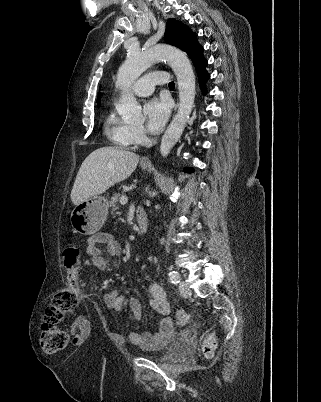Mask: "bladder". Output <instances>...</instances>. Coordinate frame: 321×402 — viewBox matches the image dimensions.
Masks as SVG:
<instances>
[{"mask_svg":"<svg viewBox=\"0 0 321 402\" xmlns=\"http://www.w3.org/2000/svg\"><path fill=\"white\" fill-rule=\"evenodd\" d=\"M146 357L164 362L170 363L175 359V355L171 349V343L165 344L159 352L145 354Z\"/></svg>","mask_w":321,"mask_h":402,"instance_id":"1","label":"bladder"}]
</instances>
